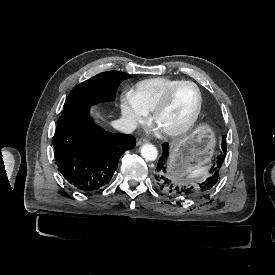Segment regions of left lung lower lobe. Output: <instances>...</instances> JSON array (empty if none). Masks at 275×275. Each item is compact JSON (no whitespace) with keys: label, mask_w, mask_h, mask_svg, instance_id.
Segmentation results:
<instances>
[{"label":"left lung lower lobe","mask_w":275,"mask_h":275,"mask_svg":"<svg viewBox=\"0 0 275 275\" xmlns=\"http://www.w3.org/2000/svg\"><path fill=\"white\" fill-rule=\"evenodd\" d=\"M226 146L224 152L226 153ZM169 157V148L168 144L165 143L163 145V153L159 158L157 167L155 169L154 178L157 187L166 195L172 197H195L199 195H206L208 192L212 190V188L219 181V168L222 165L224 155L222 154L217 161L216 166L213 165L209 174L203 181L200 182H189L187 184H179L175 181H172L167 173L166 164Z\"/></svg>","instance_id":"1"}]
</instances>
